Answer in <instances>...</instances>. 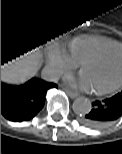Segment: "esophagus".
Returning a JSON list of instances; mask_svg holds the SVG:
<instances>
[{
  "label": "esophagus",
  "mask_w": 122,
  "mask_h": 154,
  "mask_svg": "<svg viewBox=\"0 0 122 154\" xmlns=\"http://www.w3.org/2000/svg\"><path fill=\"white\" fill-rule=\"evenodd\" d=\"M63 90L65 91V93L72 99L76 98L78 96V93L77 92H74V91H71V90H68L66 88H63Z\"/></svg>",
  "instance_id": "esophagus-1"
}]
</instances>
